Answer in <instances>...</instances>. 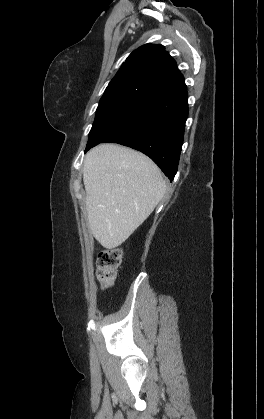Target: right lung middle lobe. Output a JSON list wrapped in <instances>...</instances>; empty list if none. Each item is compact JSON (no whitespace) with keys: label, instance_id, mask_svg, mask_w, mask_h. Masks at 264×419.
Instances as JSON below:
<instances>
[{"label":"right lung middle lobe","instance_id":"obj_1","mask_svg":"<svg viewBox=\"0 0 264 419\" xmlns=\"http://www.w3.org/2000/svg\"><path fill=\"white\" fill-rule=\"evenodd\" d=\"M151 98V94L129 86L107 87L96 110L85 152L122 127Z\"/></svg>","mask_w":264,"mask_h":419}]
</instances>
